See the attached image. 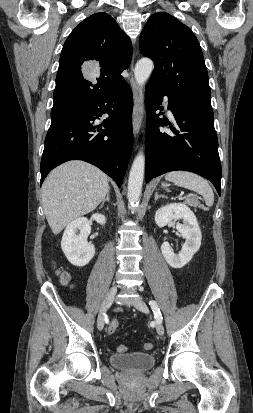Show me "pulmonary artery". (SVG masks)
Returning a JSON list of instances; mask_svg holds the SVG:
<instances>
[{
  "instance_id": "1",
  "label": "pulmonary artery",
  "mask_w": 253,
  "mask_h": 413,
  "mask_svg": "<svg viewBox=\"0 0 253 413\" xmlns=\"http://www.w3.org/2000/svg\"><path fill=\"white\" fill-rule=\"evenodd\" d=\"M164 102H165V106L167 107L168 106L167 98H165ZM168 113H169L170 116H172V112L170 110H168Z\"/></svg>"
}]
</instances>
